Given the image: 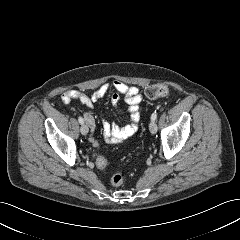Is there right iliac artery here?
I'll return each instance as SVG.
<instances>
[{"instance_id": "82829eb1", "label": "right iliac artery", "mask_w": 240, "mask_h": 240, "mask_svg": "<svg viewBox=\"0 0 240 240\" xmlns=\"http://www.w3.org/2000/svg\"><path fill=\"white\" fill-rule=\"evenodd\" d=\"M78 121H79L80 124H83V123H84V120H83L82 117H79V118H78Z\"/></svg>"}]
</instances>
